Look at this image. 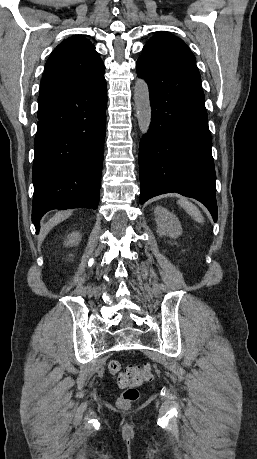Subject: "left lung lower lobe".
I'll return each instance as SVG.
<instances>
[{
	"mask_svg": "<svg viewBox=\"0 0 257 459\" xmlns=\"http://www.w3.org/2000/svg\"><path fill=\"white\" fill-rule=\"evenodd\" d=\"M136 70L148 84L152 108L150 128L139 149L140 203L177 192L202 202L216 222L212 139L195 62L140 56Z\"/></svg>",
	"mask_w": 257,
	"mask_h": 459,
	"instance_id": "1",
	"label": "left lung lower lobe"
}]
</instances>
